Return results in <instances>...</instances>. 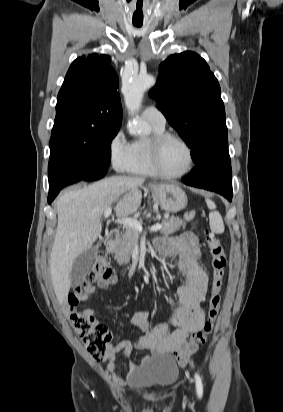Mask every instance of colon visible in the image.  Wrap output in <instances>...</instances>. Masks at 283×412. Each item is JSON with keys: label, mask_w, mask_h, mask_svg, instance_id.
I'll return each instance as SVG.
<instances>
[{"label": "colon", "mask_w": 283, "mask_h": 412, "mask_svg": "<svg viewBox=\"0 0 283 412\" xmlns=\"http://www.w3.org/2000/svg\"><path fill=\"white\" fill-rule=\"evenodd\" d=\"M204 238L205 245L211 256V278L207 317L202 328L190 336L178 350L177 355H183L206 342L212 332L220 309V292L227 265V256L221 240L214 233L206 230L204 232ZM110 276V263L105 254L99 252L93 260L91 270L84 284L68 299L71 326L88 353L96 359H102L106 356L108 344L112 340V332L104 323L99 322L88 310L80 309L79 304L86 298L88 289L94 283L105 280Z\"/></svg>", "instance_id": "1"}]
</instances>
